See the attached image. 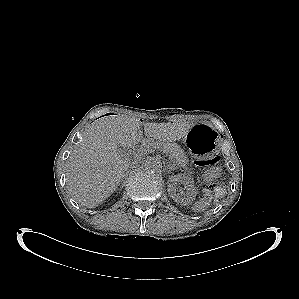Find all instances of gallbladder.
Wrapping results in <instances>:
<instances>
[{
    "label": "gallbladder",
    "mask_w": 299,
    "mask_h": 299,
    "mask_svg": "<svg viewBox=\"0 0 299 299\" xmlns=\"http://www.w3.org/2000/svg\"><path fill=\"white\" fill-rule=\"evenodd\" d=\"M118 152L121 156L126 155L127 151L122 148L121 146H118Z\"/></svg>",
    "instance_id": "bac80fb5"
}]
</instances>
